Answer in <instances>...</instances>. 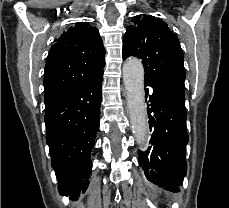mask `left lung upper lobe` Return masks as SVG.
<instances>
[{"label":"left lung upper lobe","mask_w":229,"mask_h":208,"mask_svg":"<svg viewBox=\"0 0 229 208\" xmlns=\"http://www.w3.org/2000/svg\"><path fill=\"white\" fill-rule=\"evenodd\" d=\"M123 38V60L142 59L145 83L185 107L184 57L176 34L152 15L135 16Z\"/></svg>","instance_id":"obj_1"}]
</instances>
